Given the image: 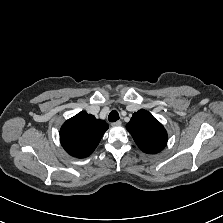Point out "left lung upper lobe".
<instances>
[{"instance_id":"obj_1","label":"left lung upper lobe","mask_w":223,"mask_h":223,"mask_svg":"<svg viewBox=\"0 0 223 223\" xmlns=\"http://www.w3.org/2000/svg\"><path fill=\"white\" fill-rule=\"evenodd\" d=\"M126 128L138 147L145 153H158L167 144L168 136L166 130L146 110L142 109L134 113Z\"/></svg>"}]
</instances>
